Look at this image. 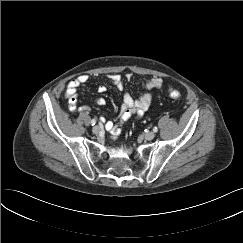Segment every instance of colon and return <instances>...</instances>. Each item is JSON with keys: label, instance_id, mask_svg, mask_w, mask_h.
<instances>
[{"label": "colon", "instance_id": "1", "mask_svg": "<svg viewBox=\"0 0 243 243\" xmlns=\"http://www.w3.org/2000/svg\"><path fill=\"white\" fill-rule=\"evenodd\" d=\"M169 95L173 99H179L181 97V93L176 89H170Z\"/></svg>", "mask_w": 243, "mask_h": 243}]
</instances>
